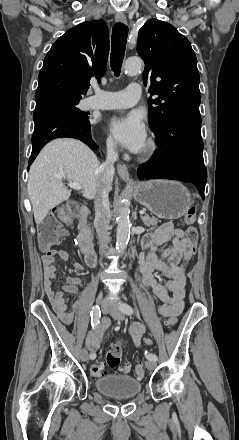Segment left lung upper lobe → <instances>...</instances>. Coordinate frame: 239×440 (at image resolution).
Instances as JSON below:
<instances>
[{
	"label": "left lung upper lobe",
	"instance_id": "obj_1",
	"mask_svg": "<svg viewBox=\"0 0 239 440\" xmlns=\"http://www.w3.org/2000/svg\"><path fill=\"white\" fill-rule=\"evenodd\" d=\"M137 51L145 62L143 82L151 81V129L177 114L199 113V71L188 39L169 23L150 19L139 30Z\"/></svg>",
	"mask_w": 239,
	"mask_h": 440
}]
</instances>
